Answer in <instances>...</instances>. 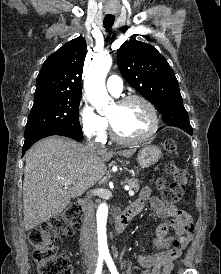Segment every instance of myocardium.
<instances>
[{"label": "myocardium", "instance_id": "1", "mask_svg": "<svg viewBox=\"0 0 221 274\" xmlns=\"http://www.w3.org/2000/svg\"><path fill=\"white\" fill-rule=\"evenodd\" d=\"M133 102H139L147 108L150 115V120H151L150 127H149V130L143 136L136 137V138H126L117 133L113 123L108 118L111 137L113 138V140L121 144L134 145V144H141V143L147 142L154 136V134L157 132L159 127V118H158L157 110L155 106L145 97L140 95H129L118 100L116 104L122 107Z\"/></svg>", "mask_w": 221, "mask_h": 274}]
</instances>
